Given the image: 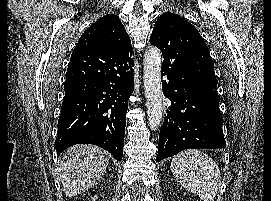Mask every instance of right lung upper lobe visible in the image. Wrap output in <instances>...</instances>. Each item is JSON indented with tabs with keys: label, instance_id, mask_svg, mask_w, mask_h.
Masks as SVG:
<instances>
[{
	"label": "right lung upper lobe",
	"instance_id": "1",
	"mask_svg": "<svg viewBox=\"0 0 271 201\" xmlns=\"http://www.w3.org/2000/svg\"><path fill=\"white\" fill-rule=\"evenodd\" d=\"M96 47L113 51L131 59L130 38L118 16L109 14L99 18L80 37L76 47Z\"/></svg>",
	"mask_w": 271,
	"mask_h": 201
}]
</instances>
